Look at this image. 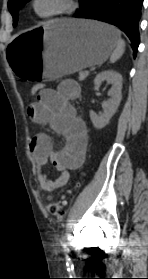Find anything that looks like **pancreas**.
I'll return each instance as SVG.
<instances>
[{
	"instance_id": "1",
	"label": "pancreas",
	"mask_w": 148,
	"mask_h": 279,
	"mask_svg": "<svg viewBox=\"0 0 148 279\" xmlns=\"http://www.w3.org/2000/svg\"><path fill=\"white\" fill-rule=\"evenodd\" d=\"M83 72L79 73V81H83L85 79V77L82 76Z\"/></svg>"
}]
</instances>
